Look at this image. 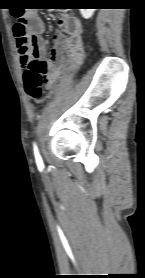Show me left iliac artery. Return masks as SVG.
I'll return each mask as SVG.
<instances>
[{
    "instance_id": "obj_1",
    "label": "left iliac artery",
    "mask_w": 145,
    "mask_h": 278,
    "mask_svg": "<svg viewBox=\"0 0 145 278\" xmlns=\"http://www.w3.org/2000/svg\"><path fill=\"white\" fill-rule=\"evenodd\" d=\"M34 154H35L36 162H37V163L42 162V159H41V156H40V154H39V152H38V149H37L36 144H34Z\"/></svg>"
}]
</instances>
